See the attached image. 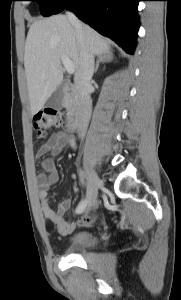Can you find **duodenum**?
Masks as SVG:
<instances>
[{
	"mask_svg": "<svg viewBox=\"0 0 181 300\" xmlns=\"http://www.w3.org/2000/svg\"><path fill=\"white\" fill-rule=\"evenodd\" d=\"M69 98V128L71 131L78 129L85 120L87 107L84 104L80 94L71 88L68 93Z\"/></svg>",
	"mask_w": 181,
	"mask_h": 300,
	"instance_id": "duodenum-1",
	"label": "duodenum"
}]
</instances>
